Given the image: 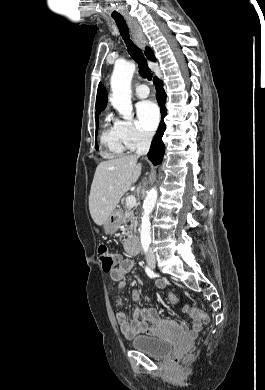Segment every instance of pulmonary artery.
<instances>
[{
    "label": "pulmonary artery",
    "instance_id": "e3ab8cb5",
    "mask_svg": "<svg viewBox=\"0 0 265 390\" xmlns=\"http://www.w3.org/2000/svg\"><path fill=\"white\" fill-rule=\"evenodd\" d=\"M135 95L138 98H146L149 95V88L144 84L138 85L135 88Z\"/></svg>",
    "mask_w": 265,
    "mask_h": 390
}]
</instances>
